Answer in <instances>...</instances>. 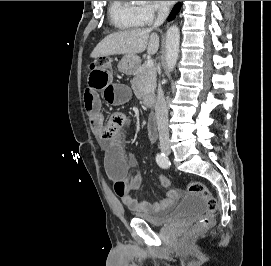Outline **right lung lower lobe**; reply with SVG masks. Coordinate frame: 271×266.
<instances>
[{"instance_id":"98d812e1","label":"right lung lower lobe","mask_w":271,"mask_h":266,"mask_svg":"<svg viewBox=\"0 0 271 266\" xmlns=\"http://www.w3.org/2000/svg\"><path fill=\"white\" fill-rule=\"evenodd\" d=\"M179 10H180V5L177 4V5L173 8V10L171 11V14H170L168 20L174 19L175 16H176V14L179 12Z\"/></svg>"}]
</instances>
